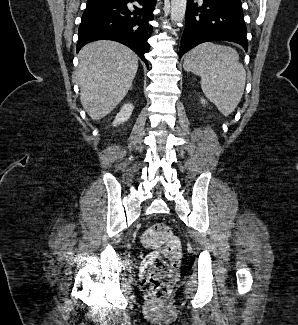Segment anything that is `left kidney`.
Returning <instances> with one entry per match:
<instances>
[{
  "instance_id": "left-kidney-1",
  "label": "left kidney",
  "mask_w": 298,
  "mask_h": 325,
  "mask_svg": "<svg viewBox=\"0 0 298 325\" xmlns=\"http://www.w3.org/2000/svg\"><path fill=\"white\" fill-rule=\"evenodd\" d=\"M201 102H202V104H207L206 98H201Z\"/></svg>"
}]
</instances>
